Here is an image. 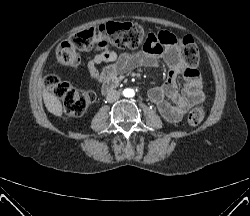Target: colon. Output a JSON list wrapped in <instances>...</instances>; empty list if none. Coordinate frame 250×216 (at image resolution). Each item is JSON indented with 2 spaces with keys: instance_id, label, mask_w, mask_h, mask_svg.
<instances>
[{
  "instance_id": "colon-1",
  "label": "colon",
  "mask_w": 250,
  "mask_h": 216,
  "mask_svg": "<svg viewBox=\"0 0 250 216\" xmlns=\"http://www.w3.org/2000/svg\"><path fill=\"white\" fill-rule=\"evenodd\" d=\"M144 28L130 22H108L97 27L89 28L71 35L57 48L58 61L66 66H75L80 62V52L92 48H137L142 44ZM178 40L179 52L184 65L195 69L199 64V50L190 36ZM144 49V47H143ZM45 85L61 101L64 111L69 116L82 115L94 102L95 96L89 90L74 88L61 79L57 74H49ZM205 116L203 105L195 106L188 114V123L199 125Z\"/></svg>"
}]
</instances>
